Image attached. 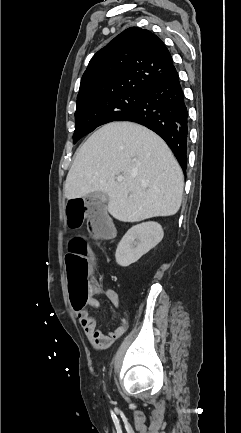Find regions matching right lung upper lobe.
<instances>
[{
	"label": "right lung upper lobe",
	"instance_id": "right-lung-upper-lobe-1",
	"mask_svg": "<svg viewBox=\"0 0 241 433\" xmlns=\"http://www.w3.org/2000/svg\"><path fill=\"white\" fill-rule=\"evenodd\" d=\"M176 72L155 34L130 27L99 50L82 76L77 104L126 91H140Z\"/></svg>",
	"mask_w": 241,
	"mask_h": 433
}]
</instances>
